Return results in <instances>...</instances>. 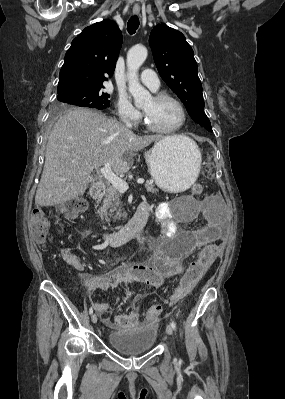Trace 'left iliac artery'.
Wrapping results in <instances>:
<instances>
[{
    "instance_id": "obj_1",
    "label": "left iliac artery",
    "mask_w": 285,
    "mask_h": 399,
    "mask_svg": "<svg viewBox=\"0 0 285 399\" xmlns=\"http://www.w3.org/2000/svg\"><path fill=\"white\" fill-rule=\"evenodd\" d=\"M170 325H171V327H172L173 329H176V323H175L174 321H172V322L170 323Z\"/></svg>"
}]
</instances>
